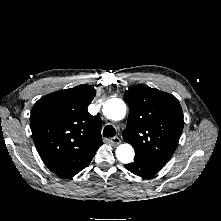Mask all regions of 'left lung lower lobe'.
Listing matches in <instances>:
<instances>
[{
    "label": "left lung lower lobe",
    "mask_w": 221,
    "mask_h": 221,
    "mask_svg": "<svg viewBox=\"0 0 221 221\" xmlns=\"http://www.w3.org/2000/svg\"><path fill=\"white\" fill-rule=\"evenodd\" d=\"M165 162L155 161L135 155V161L132 164H125V168L140 177H149L160 171Z\"/></svg>",
    "instance_id": "1"
}]
</instances>
